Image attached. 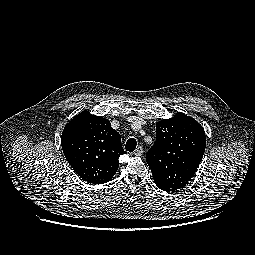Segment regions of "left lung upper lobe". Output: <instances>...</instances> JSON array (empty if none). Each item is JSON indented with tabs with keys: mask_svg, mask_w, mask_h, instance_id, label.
<instances>
[{
	"mask_svg": "<svg viewBox=\"0 0 255 255\" xmlns=\"http://www.w3.org/2000/svg\"><path fill=\"white\" fill-rule=\"evenodd\" d=\"M203 127L177 113L156 124V142L146 154L154 182L164 191L183 188L194 176L205 151Z\"/></svg>",
	"mask_w": 255,
	"mask_h": 255,
	"instance_id": "1",
	"label": "left lung upper lobe"
}]
</instances>
